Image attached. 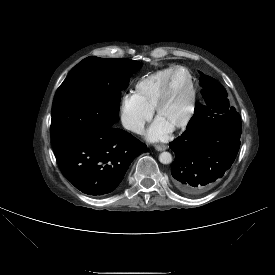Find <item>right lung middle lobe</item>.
<instances>
[{"label":"right lung middle lobe","instance_id":"1","mask_svg":"<svg viewBox=\"0 0 275 275\" xmlns=\"http://www.w3.org/2000/svg\"><path fill=\"white\" fill-rule=\"evenodd\" d=\"M141 66L130 59L90 56L73 67L54 98L52 143L66 136L113 127L121 90Z\"/></svg>","mask_w":275,"mask_h":275}]
</instances>
